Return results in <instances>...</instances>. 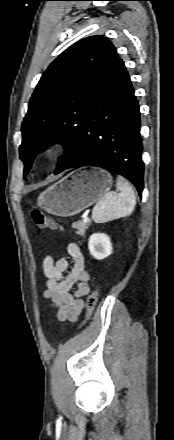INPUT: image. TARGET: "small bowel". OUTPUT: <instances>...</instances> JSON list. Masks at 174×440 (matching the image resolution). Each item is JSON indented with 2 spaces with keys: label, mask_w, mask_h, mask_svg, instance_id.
<instances>
[{
  "label": "small bowel",
  "mask_w": 174,
  "mask_h": 440,
  "mask_svg": "<svg viewBox=\"0 0 174 440\" xmlns=\"http://www.w3.org/2000/svg\"><path fill=\"white\" fill-rule=\"evenodd\" d=\"M67 258L55 259L46 256L43 260V271L46 286L43 296L51 301L56 309L59 321H77L85 306L84 297L90 292V275L85 270L84 257L80 248L74 244L67 245Z\"/></svg>",
  "instance_id": "small-bowel-1"
}]
</instances>
